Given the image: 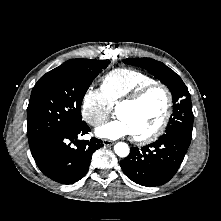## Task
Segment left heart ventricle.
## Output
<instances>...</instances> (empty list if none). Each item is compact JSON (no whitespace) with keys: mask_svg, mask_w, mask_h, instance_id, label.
I'll return each mask as SVG.
<instances>
[{"mask_svg":"<svg viewBox=\"0 0 221 221\" xmlns=\"http://www.w3.org/2000/svg\"><path fill=\"white\" fill-rule=\"evenodd\" d=\"M166 95L161 89H154L136 105H125L116 111L130 127L132 135L143 136L154 131L160 124L166 110Z\"/></svg>","mask_w":221,"mask_h":221,"instance_id":"obj_1","label":"left heart ventricle"}]
</instances>
